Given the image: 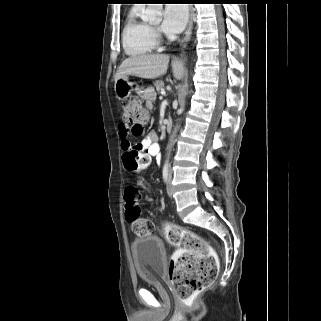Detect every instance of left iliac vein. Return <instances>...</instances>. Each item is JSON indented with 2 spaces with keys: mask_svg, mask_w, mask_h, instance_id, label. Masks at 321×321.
Masks as SVG:
<instances>
[{
  "mask_svg": "<svg viewBox=\"0 0 321 321\" xmlns=\"http://www.w3.org/2000/svg\"><path fill=\"white\" fill-rule=\"evenodd\" d=\"M171 180H172V172L170 171L169 176H168L167 188H166L167 189V194L169 196H172V193H173Z\"/></svg>",
  "mask_w": 321,
  "mask_h": 321,
  "instance_id": "left-iliac-vein-1",
  "label": "left iliac vein"
}]
</instances>
